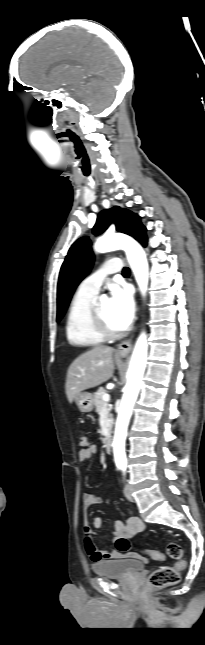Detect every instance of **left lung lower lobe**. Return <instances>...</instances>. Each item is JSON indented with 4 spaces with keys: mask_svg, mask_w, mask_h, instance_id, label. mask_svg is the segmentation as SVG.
<instances>
[{
    "mask_svg": "<svg viewBox=\"0 0 205 645\" xmlns=\"http://www.w3.org/2000/svg\"><path fill=\"white\" fill-rule=\"evenodd\" d=\"M140 243H141L143 246H146V244H147V238H146V235L143 237V239L140 241Z\"/></svg>",
    "mask_w": 205,
    "mask_h": 645,
    "instance_id": "1",
    "label": "left lung lower lobe"
}]
</instances>
